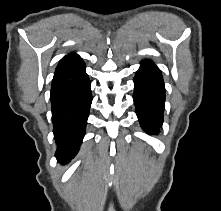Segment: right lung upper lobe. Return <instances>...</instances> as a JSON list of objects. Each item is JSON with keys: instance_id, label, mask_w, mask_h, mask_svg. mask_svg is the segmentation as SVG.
I'll return each instance as SVG.
<instances>
[{"instance_id": "1", "label": "right lung upper lobe", "mask_w": 221, "mask_h": 211, "mask_svg": "<svg viewBox=\"0 0 221 211\" xmlns=\"http://www.w3.org/2000/svg\"><path fill=\"white\" fill-rule=\"evenodd\" d=\"M83 64L84 61L79 55L75 53L68 54L60 60L55 70V75L73 70Z\"/></svg>"}]
</instances>
